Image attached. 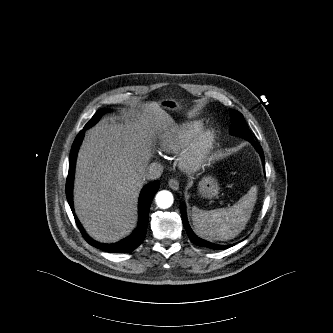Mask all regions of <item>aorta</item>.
I'll return each instance as SVG.
<instances>
[{"mask_svg": "<svg viewBox=\"0 0 333 333\" xmlns=\"http://www.w3.org/2000/svg\"><path fill=\"white\" fill-rule=\"evenodd\" d=\"M155 200L159 208L166 209L173 204L174 198L171 192L162 190L157 193Z\"/></svg>", "mask_w": 333, "mask_h": 333, "instance_id": "aorta-1", "label": "aorta"}]
</instances>
